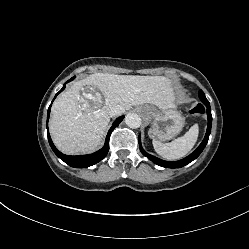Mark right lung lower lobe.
I'll return each mask as SVG.
<instances>
[{
	"label": "right lung lower lobe",
	"mask_w": 249,
	"mask_h": 249,
	"mask_svg": "<svg viewBox=\"0 0 249 249\" xmlns=\"http://www.w3.org/2000/svg\"><path fill=\"white\" fill-rule=\"evenodd\" d=\"M74 79L71 78L69 81H72ZM66 87V85L64 84L63 88L56 94V96L62 92L64 90V88ZM55 96V97H56ZM55 99V98H54ZM50 110H51V105L48 109V114H47V129H48V119H49V115H50ZM124 116H120L119 118H117L112 127L110 128V130L108 131L107 137H106V141L104 146L98 150L97 152L93 153V154H89V155H80V156H68V155H64L63 153H61L60 151L57 150V148L54 146L50 134L49 132H47L48 135V141L49 144L52 148V150L54 151V153L61 159L63 160L65 163H67L68 165H70L71 167H75V168H85V167H89L92 166L96 163H98L99 161H101L103 158H105V156L108 153L109 150V138L111 135V132L114 130L115 127H117L120 122L123 120Z\"/></svg>",
	"instance_id": "98d812e1"
}]
</instances>
